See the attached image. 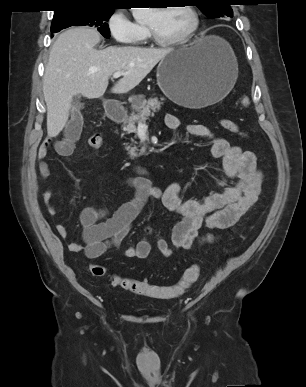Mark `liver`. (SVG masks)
Masks as SVG:
<instances>
[{"mask_svg":"<svg viewBox=\"0 0 306 387\" xmlns=\"http://www.w3.org/2000/svg\"><path fill=\"white\" fill-rule=\"evenodd\" d=\"M99 42L100 34L88 27L68 29L54 42L43 77L48 137H56L66 126L75 95L102 97L115 72L125 75L113 86L112 93H128L174 50L134 46L97 50Z\"/></svg>","mask_w":306,"mask_h":387,"instance_id":"6515ba94","label":"liver"}]
</instances>
